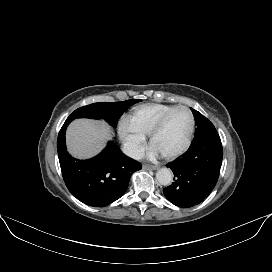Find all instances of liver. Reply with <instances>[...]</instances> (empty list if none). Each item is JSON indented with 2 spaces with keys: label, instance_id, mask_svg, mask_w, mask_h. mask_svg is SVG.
Returning <instances> with one entry per match:
<instances>
[{
  "label": "liver",
  "instance_id": "6515ba94",
  "mask_svg": "<svg viewBox=\"0 0 272 272\" xmlns=\"http://www.w3.org/2000/svg\"><path fill=\"white\" fill-rule=\"evenodd\" d=\"M111 137V127L104 121L77 119L67 129L66 142L73 156L85 159L97 155Z\"/></svg>",
  "mask_w": 272,
  "mask_h": 272
}]
</instances>
